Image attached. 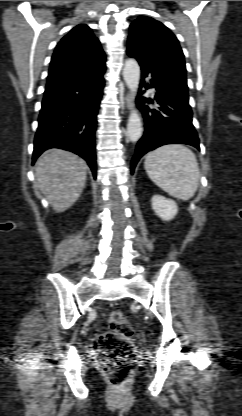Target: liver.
Here are the masks:
<instances>
[{
    "instance_id": "6515ba94",
    "label": "liver",
    "mask_w": 242,
    "mask_h": 416,
    "mask_svg": "<svg viewBox=\"0 0 242 416\" xmlns=\"http://www.w3.org/2000/svg\"><path fill=\"white\" fill-rule=\"evenodd\" d=\"M35 170L37 187L57 213L75 203L86 183V162L65 150L45 151L37 160Z\"/></svg>"
}]
</instances>
